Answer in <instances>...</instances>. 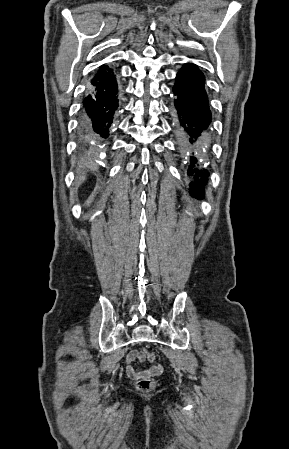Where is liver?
<instances>
[{
    "mask_svg": "<svg viewBox=\"0 0 289 449\" xmlns=\"http://www.w3.org/2000/svg\"><path fill=\"white\" fill-rule=\"evenodd\" d=\"M84 179H85V178H84V177H82V181H84Z\"/></svg>",
    "mask_w": 289,
    "mask_h": 449,
    "instance_id": "6515ba94",
    "label": "liver"
}]
</instances>
